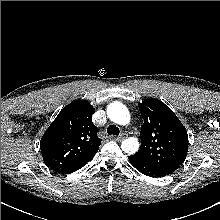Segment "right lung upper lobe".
Masks as SVG:
<instances>
[{
    "mask_svg": "<svg viewBox=\"0 0 220 220\" xmlns=\"http://www.w3.org/2000/svg\"><path fill=\"white\" fill-rule=\"evenodd\" d=\"M93 112L87 101H73L51 123L40 142L43 160L50 169L65 173L95 156L101 139L92 122Z\"/></svg>",
    "mask_w": 220,
    "mask_h": 220,
    "instance_id": "cb5924a9",
    "label": "right lung upper lobe"
}]
</instances>
